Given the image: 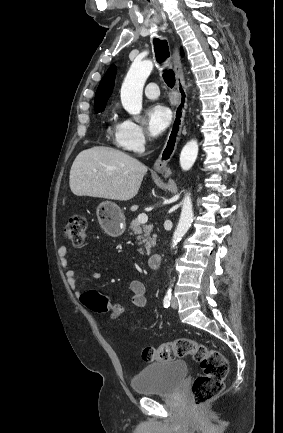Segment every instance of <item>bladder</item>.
Masks as SVG:
<instances>
[{"label": "bladder", "instance_id": "31cf9c89", "mask_svg": "<svg viewBox=\"0 0 283 433\" xmlns=\"http://www.w3.org/2000/svg\"><path fill=\"white\" fill-rule=\"evenodd\" d=\"M187 366L183 361H166L145 366L131 381L135 393L175 392L186 377Z\"/></svg>", "mask_w": 283, "mask_h": 433}]
</instances>
